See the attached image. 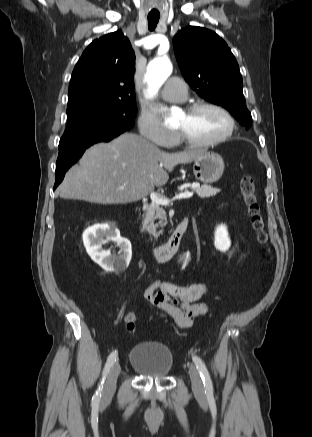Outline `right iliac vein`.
Segmentation results:
<instances>
[{"instance_id":"1","label":"right iliac vein","mask_w":312,"mask_h":437,"mask_svg":"<svg viewBox=\"0 0 312 437\" xmlns=\"http://www.w3.org/2000/svg\"><path fill=\"white\" fill-rule=\"evenodd\" d=\"M119 371H120V365L117 362L112 366L109 375L107 377L102 394V403L107 402L112 398L116 389V382L119 375Z\"/></svg>"}]
</instances>
